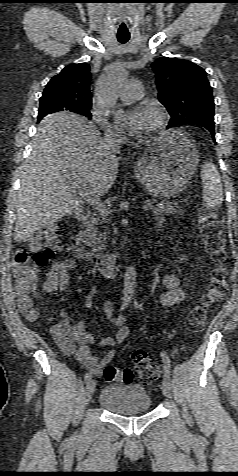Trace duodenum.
I'll list each match as a JSON object with an SVG mask.
<instances>
[{
  "mask_svg": "<svg viewBox=\"0 0 238 476\" xmlns=\"http://www.w3.org/2000/svg\"><path fill=\"white\" fill-rule=\"evenodd\" d=\"M89 219L87 212L77 214L75 221L81 225L85 224ZM69 249L72 254L79 260L91 263L103 277H112L119 269L122 262L129 257L128 252L119 254H93L84 245L78 233L73 234L69 239Z\"/></svg>",
  "mask_w": 238,
  "mask_h": 476,
  "instance_id": "duodenum-1",
  "label": "duodenum"
}]
</instances>
